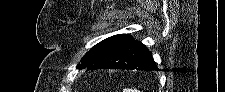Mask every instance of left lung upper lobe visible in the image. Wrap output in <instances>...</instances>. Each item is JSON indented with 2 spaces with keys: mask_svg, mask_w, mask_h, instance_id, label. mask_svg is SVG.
I'll return each mask as SVG.
<instances>
[{
  "mask_svg": "<svg viewBox=\"0 0 225 92\" xmlns=\"http://www.w3.org/2000/svg\"><path fill=\"white\" fill-rule=\"evenodd\" d=\"M134 39L128 34H119L109 37L87 52L81 59L78 69H95L105 59L115 53L125 45L131 43Z\"/></svg>",
  "mask_w": 225,
  "mask_h": 92,
  "instance_id": "5c2ea615",
  "label": "left lung upper lobe"
}]
</instances>
